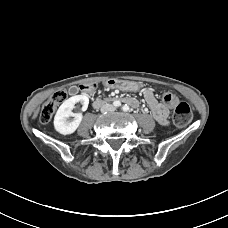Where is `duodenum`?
I'll use <instances>...</instances> for the list:
<instances>
[{
  "mask_svg": "<svg viewBox=\"0 0 228 228\" xmlns=\"http://www.w3.org/2000/svg\"><path fill=\"white\" fill-rule=\"evenodd\" d=\"M114 99H115V101H118L116 98H114ZM105 101H106V99H104V98L96 99V100L94 101V106H95V107H99L100 105H102L103 103H105ZM123 101H124L125 103H127V102L132 103V101H131L130 99H128V98H124Z\"/></svg>",
  "mask_w": 228,
  "mask_h": 228,
  "instance_id": "1",
  "label": "duodenum"
}]
</instances>
